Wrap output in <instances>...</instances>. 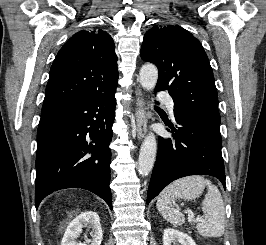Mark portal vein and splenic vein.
<instances>
[{"label":"portal vein and splenic vein","mask_w":266,"mask_h":245,"mask_svg":"<svg viewBox=\"0 0 266 245\" xmlns=\"http://www.w3.org/2000/svg\"><path fill=\"white\" fill-rule=\"evenodd\" d=\"M187 213H188V219H189V221H192V219L194 217L192 211H189V209H188ZM196 221H201V217H197Z\"/></svg>","instance_id":"portal-vein-and-splenic-vein-1"}]
</instances>
